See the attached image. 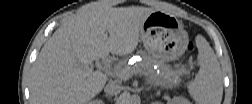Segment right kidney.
I'll use <instances>...</instances> for the list:
<instances>
[{
    "instance_id": "right-kidney-1",
    "label": "right kidney",
    "mask_w": 252,
    "mask_h": 104,
    "mask_svg": "<svg viewBox=\"0 0 252 104\" xmlns=\"http://www.w3.org/2000/svg\"><path fill=\"white\" fill-rule=\"evenodd\" d=\"M90 104H104V102L102 100H93Z\"/></svg>"
}]
</instances>
